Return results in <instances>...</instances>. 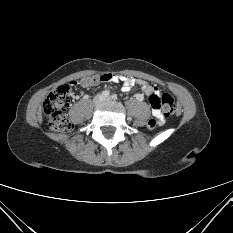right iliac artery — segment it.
Masks as SVG:
<instances>
[{
	"label": "right iliac artery",
	"mask_w": 233,
	"mask_h": 233,
	"mask_svg": "<svg viewBox=\"0 0 233 233\" xmlns=\"http://www.w3.org/2000/svg\"><path fill=\"white\" fill-rule=\"evenodd\" d=\"M110 95V92L108 90H105L102 92L103 97H108Z\"/></svg>",
	"instance_id": "right-iliac-artery-1"
}]
</instances>
